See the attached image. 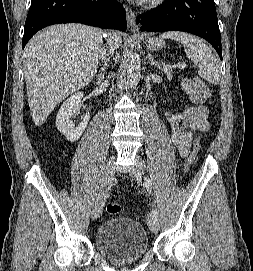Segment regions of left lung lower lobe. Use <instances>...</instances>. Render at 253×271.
<instances>
[{
	"label": "left lung lower lobe",
	"instance_id": "1",
	"mask_svg": "<svg viewBox=\"0 0 253 271\" xmlns=\"http://www.w3.org/2000/svg\"><path fill=\"white\" fill-rule=\"evenodd\" d=\"M141 31H185L206 39L222 59L221 35L214 0H166L136 19Z\"/></svg>",
	"mask_w": 253,
	"mask_h": 271
}]
</instances>
